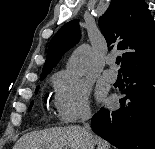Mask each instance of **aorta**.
<instances>
[{
	"instance_id": "obj_1",
	"label": "aorta",
	"mask_w": 155,
	"mask_h": 149,
	"mask_svg": "<svg viewBox=\"0 0 155 149\" xmlns=\"http://www.w3.org/2000/svg\"><path fill=\"white\" fill-rule=\"evenodd\" d=\"M91 51L89 46L78 47L68 60L66 71L70 77L80 78L85 75L90 61Z\"/></svg>"
}]
</instances>
